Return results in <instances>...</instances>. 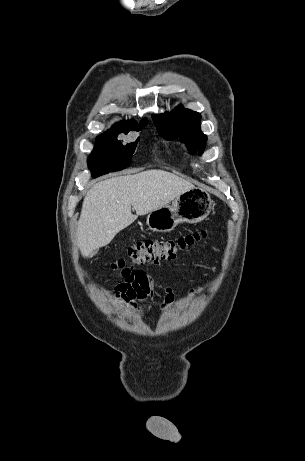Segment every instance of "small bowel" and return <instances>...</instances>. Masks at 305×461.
<instances>
[{"label":"small bowel","instance_id":"obj_1","mask_svg":"<svg viewBox=\"0 0 305 461\" xmlns=\"http://www.w3.org/2000/svg\"><path fill=\"white\" fill-rule=\"evenodd\" d=\"M154 291L155 282L152 277L143 270H136L114 287V298L119 304L135 312L141 309V304L152 298ZM165 292L164 300L160 305L162 310H166L175 299L172 287L167 286ZM201 293V288H192L188 291V297L193 299L196 294Z\"/></svg>","mask_w":305,"mask_h":461}]
</instances>
